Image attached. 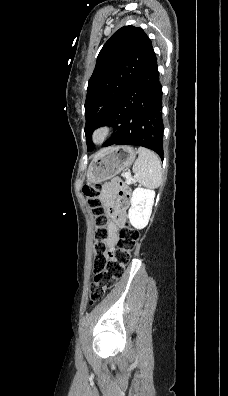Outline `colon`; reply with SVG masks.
<instances>
[{
  "label": "colon",
  "mask_w": 228,
  "mask_h": 396,
  "mask_svg": "<svg viewBox=\"0 0 228 396\" xmlns=\"http://www.w3.org/2000/svg\"><path fill=\"white\" fill-rule=\"evenodd\" d=\"M123 198L129 196V189L120 179H115ZM88 205L95 220L93 268L97 271L90 288V302L95 303L104 298L122 276L124 267L130 262L132 251L139 240V232L125 226L120 232L117 248L112 249L109 240L108 219L104 214L100 199L101 185L88 184L82 187Z\"/></svg>",
  "instance_id": "obj_1"
}]
</instances>
